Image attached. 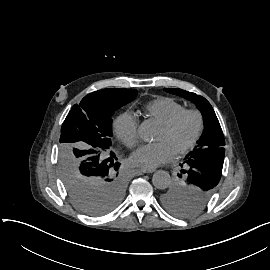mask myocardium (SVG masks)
Segmentation results:
<instances>
[{
  "instance_id": "obj_1",
  "label": "myocardium",
  "mask_w": 270,
  "mask_h": 270,
  "mask_svg": "<svg viewBox=\"0 0 270 270\" xmlns=\"http://www.w3.org/2000/svg\"><path fill=\"white\" fill-rule=\"evenodd\" d=\"M188 115H191L195 118L196 120V128L194 131V134L192 136V138L185 143L184 145H181L177 148V153L178 154H183L186 151H188L189 149H191L195 143L197 142L201 130H202V125H203V119H202V115L199 111L194 110V109H188V110H184L182 112H180L179 114L175 115L173 118H171L169 121H167L166 123L162 124V126L169 132L173 131L178 125L179 123Z\"/></svg>"
}]
</instances>
